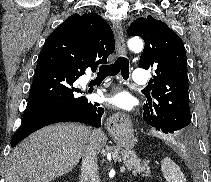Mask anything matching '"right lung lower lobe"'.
I'll use <instances>...</instances> for the list:
<instances>
[{"mask_svg": "<svg viewBox=\"0 0 211 182\" xmlns=\"http://www.w3.org/2000/svg\"><path fill=\"white\" fill-rule=\"evenodd\" d=\"M87 67L95 68L66 26L55 29L39 54L27 109L12 147L34 131L57 122L75 121L100 127L104 109L80 96L81 89L74 86Z\"/></svg>", "mask_w": 211, "mask_h": 182, "instance_id": "1", "label": "right lung lower lobe"}]
</instances>
